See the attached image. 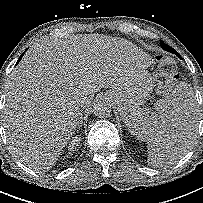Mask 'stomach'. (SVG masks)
<instances>
[{"mask_svg":"<svg viewBox=\"0 0 203 203\" xmlns=\"http://www.w3.org/2000/svg\"><path fill=\"white\" fill-rule=\"evenodd\" d=\"M153 89L150 74L144 70L136 72L130 81L118 86L112 93V100L116 103L121 116L126 121L130 115L140 111L141 105Z\"/></svg>","mask_w":203,"mask_h":203,"instance_id":"0dacf381","label":"stomach"}]
</instances>
